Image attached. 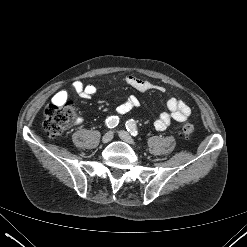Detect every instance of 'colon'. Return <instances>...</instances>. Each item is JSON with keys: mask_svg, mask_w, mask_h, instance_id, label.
Returning <instances> with one entry per match:
<instances>
[{"mask_svg": "<svg viewBox=\"0 0 247 247\" xmlns=\"http://www.w3.org/2000/svg\"><path fill=\"white\" fill-rule=\"evenodd\" d=\"M75 107L69 102L48 104L45 108L43 126L48 135L55 137L60 135L74 120ZM194 131V126L185 123L181 128L183 136L188 137Z\"/></svg>", "mask_w": 247, "mask_h": 247, "instance_id": "obj_1", "label": "colon"}]
</instances>
